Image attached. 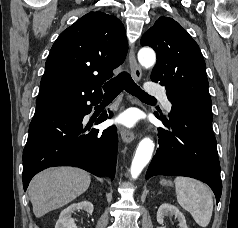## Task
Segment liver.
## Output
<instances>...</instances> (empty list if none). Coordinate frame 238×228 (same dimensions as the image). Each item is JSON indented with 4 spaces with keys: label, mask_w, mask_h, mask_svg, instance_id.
Masks as SVG:
<instances>
[{
    "label": "liver",
    "mask_w": 238,
    "mask_h": 228,
    "mask_svg": "<svg viewBox=\"0 0 238 228\" xmlns=\"http://www.w3.org/2000/svg\"><path fill=\"white\" fill-rule=\"evenodd\" d=\"M90 182V174L77 168L58 167L42 171L28 187L34 215L40 218L67 205L84 193Z\"/></svg>",
    "instance_id": "1"
}]
</instances>
